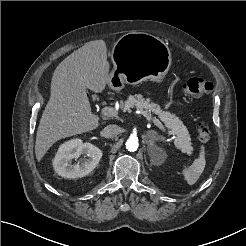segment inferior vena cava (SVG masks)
<instances>
[{"label": "inferior vena cava", "mask_w": 246, "mask_h": 246, "mask_svg": "<svg viewBox=\"0 0 246 246\" xmlns=\"http://www.w3.org/2000/svg\"><path fill=\"white\" fill-rule=\"evenodd\" d=\"M121 132V128L117 125H107L101 132L105 138H114Z\"/></svg>", "instance_id": "inferior-vena-cava-1"}]
</instances>
